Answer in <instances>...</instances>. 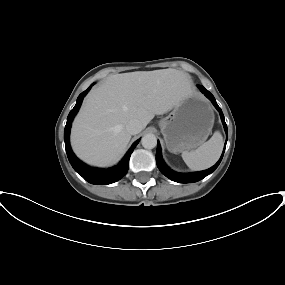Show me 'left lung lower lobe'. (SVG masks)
Returning a JSON list of instances; mask_svg holds the SVG:
<instances>
[{
	"instance_id": "0a47b994",
	"label": "left lung lower lobe",
	"mask_w": 285,
	"mask_h": 285,
	"mask_svg": "<svg viewBox=\"0 0 285 285\" xmlns=\"http://www.w3.org/2000/svg\"><path fill=\"white\" fill-rule=\"evenodd\" d=\"M197 86L200 89V91L206 97H208L211 100V102L214 104L216 109L219 111L221 119H222V122H223V125H224V129H225L226 135L228 137L227 125H226L225 120H224V115L222 113L221 108L217 105L214 96L208 90H206L203 86H200V85H197ZM226 142H227V138H226ZM225 147H226V143H225ZM224 150H225V148H224ZM223 154H224V151H223L222 156L219 159V161L213 167H211V168H209L207 170L200 171V172H194V173L182 174V173H177V172L172 171L164 163L163 158H162V154H161V147H160V144L158 142L157 143V151H156V163H157V167L159 168L161 173L164 174L169 179H171V180H173L175 182H179V183H194V182H197V181L203 179L204 177H206L210 173H212L218 167V165L220 164V162H221V160L223 158Z\"/></svg>"
}]
</instances>
